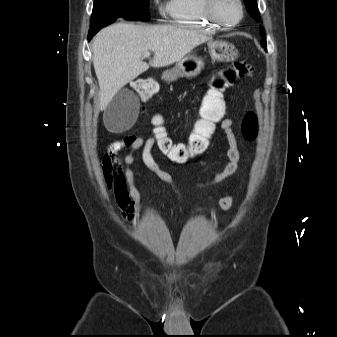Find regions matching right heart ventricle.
<instances>
[{
	"mask_svg": "<svg viewBox=\"0 0 337 337\" xmlns=\"http://www.w3.org/2000/svg\"><path fill=\"white\" fill-rule=\"evenodd\" d=\"M165 13L172 23L185 28L207 33L220 28L207 18L203 0H167Z\"/></svg>",
	"mask_w": 337,
	"mask_h": 337,
	"instance_id": "1",
	"label": "right heart ventricle"
}]
</instances>
